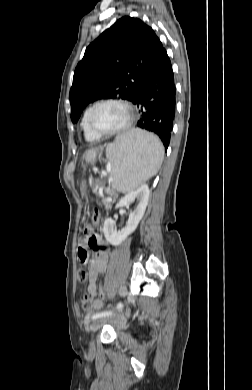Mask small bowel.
Masks as SVG:
<instances>
[{
	"mask_svg": "<svg viewBox=\"0 0 252 390\" xmlns=\"http://www.w3.org/2000/svg\"><path fill=\"white\" fill-rule=\"evenodd\" d=\"M90 249L94 250L95 255L89 261V282L87 290L93 300V309L98 311L103 306L104 292L99 290V297H97V280L98 276L104 273L107 269L109 250L102 238L99 235L94 234L93 229L88 228L85 230L84 235L79 239L78 243L77 253L80 261H82L84 256V263H87Z\"/></svg>",
	"mask_w": 252,
	"mask_h": 390,
	"instance_id": "c3829d8e",
	"label": "small bowel"
}]
</instances>
